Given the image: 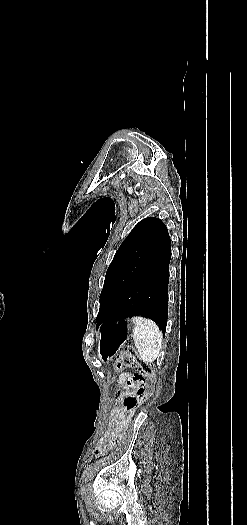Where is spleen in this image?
I'll return each mask as SVG.
<instances>
[{
  "mask_svg": "<svg viewBox=\"0 0 247 525\" xmlns=\"http://www.w3.org/2000/svg\"><path fill=\"white\" fill-rule=\"evenodd\" d=\"M133 341L144 363H153L157 359L162 345V333L156 323L144 317H134Z\"/></svg>",
  "mask_w": 247,
  "mask_h": 525,
  "instance_id": "spleen-1",
  "label": "spleen"
}]
</instances>
